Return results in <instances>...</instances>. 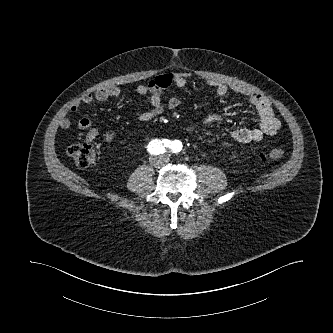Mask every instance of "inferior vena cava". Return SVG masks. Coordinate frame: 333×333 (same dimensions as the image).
I'll list each match as a JSON object with an SVG mask.
<instances>
[{
  "mask_svg": "<svg viewBox=\"0 0 333 333\" xmlns=\"http://www.w3.org/2000/svg\"><path fill=\"white\" fill-rule=\"evenodd\" d=\"M150 164H151V165H154V166L157 165V162H156V158H155V157H151V159H150Z\"/></svg>",
  "mask_w": 333,
  "mask_h": 333,
  "instance_id": "inferior-vena-cava-1",
  "label": "inferior vena cava"
}]
</instances>
